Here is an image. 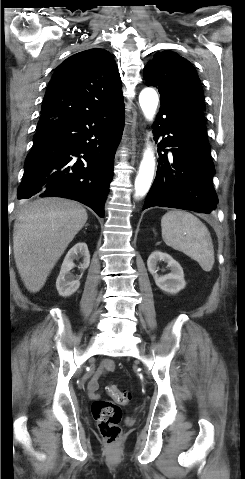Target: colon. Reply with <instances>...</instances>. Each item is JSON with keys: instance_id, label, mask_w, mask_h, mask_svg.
<instances>
[{"instance_id": "5ec220e1", "label": "colon", "mask_w": 245, "mask_h": 479, "mask_svg": "<svg viewBox=\"0 0 245 479\" xmlns=\"http://www.w3.org/2000/svg\"><path fill=\"white\" fill-rule=\"evenodd\" d=\"M108 390L112 400H96L92 405V414L101 436L109 446H112L121 438V406L129 402L130 393L115 386H110Z\"/></svg>"}]
</instances>
